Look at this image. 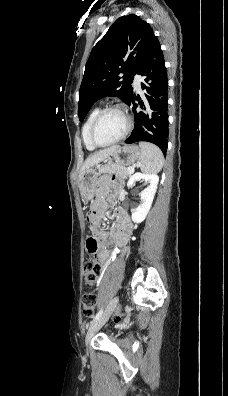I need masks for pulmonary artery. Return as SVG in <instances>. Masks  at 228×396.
<instances>
[{
	"label": "pulmonary artery",
	"instance_id": "pulmonary-artery-1",
	"mask_svg": "<svg viewBox=\"0 0 228 396\" xmlns=\"http://www.w3.org/2000/svg\"><path fill=\"white\" fill-rule=\"evenodd\" d=\"M141 80H142V78L140 77V76H135V79H134V87L137 89V90H140L141 89Z\"/></svg>",
	"mask_w": 228,
	"mask_h": 396
}]
</instances>
